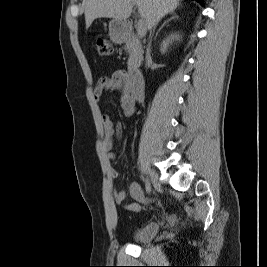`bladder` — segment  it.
<instances>
[{
    "instance_id": "obj_1",
    "label": "bladder",
    "mask_w": 267,
    "mask_h": 267,
    "mask_svg": "<svg viewBox=\"0 0 267 267\" xmlns=\"http://www.w3.org/2000/svg\"><path fill=\"white\" fill-rule=\"evenodd\" d=\"M159 231V225L156 223H148L144 225L143 227L137 229L133 235L132 240L135 243H146L153 239Z\"/></svg>"
}]
</instances>
